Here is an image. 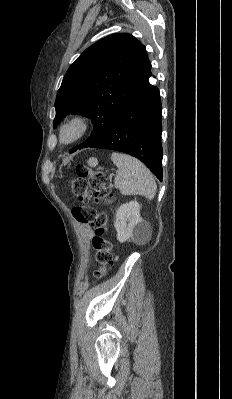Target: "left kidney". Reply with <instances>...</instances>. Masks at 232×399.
<instances>
[{"label": "left kidney", "instance_id": "left-kidney-1", "mask_svg": "<svg viewBox=\"0 0 232 399\" xmlns=\"http://www.w3.org/2000/svg\"><path fill=\"white\" fill-rule=\"evenodd\" d=\"M140 207L138 201L122 203L118 207L114 225L119 241H126V239L138 241V239L145 237L147 231H149V223L142 219Z\"/></svg>", "mask_w": 232, "mask_h": 399}]
</instances>
